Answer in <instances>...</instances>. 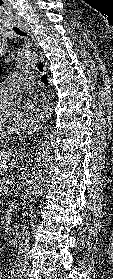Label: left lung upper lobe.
Returning <instances> with one entry per match:
<instances>
[{"instance_id":"left-lung-upper-lobe-1","label":"left lung upper lobe","mask_w":113,"mask_h":279,"mask_svg":"<svg viewBox=\"0 0 113 279\" xmlns=\"http://www.w3.org/2000/svg\"><path fill=\"white\" fill-rule=\"evenodd\" d=\"M1 70H2V68H1V66H0V74H1Z\"/></svg>"}]
</instances>
